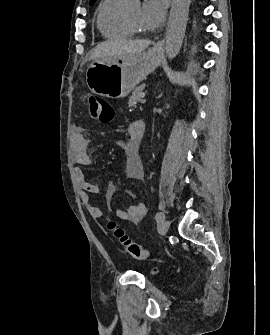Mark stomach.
Instances as JSON below:
<instances>
[{"mask_svg": "<svg viewBox=\"0 0 270 335\" xmlns=\"http://www.w3.org/2000/svg\"><path fill=\"white\" fill-rule=\"evenodd\" d=\"M162 48H150L135 56H116L95 60L86 70V84L103 98H126L137 84L160 66Z\"/></svg>", "mask_w": 270, "mask_h": 335, "instance_id": "0dacf381", "label": "stomach"}]
</instances>
